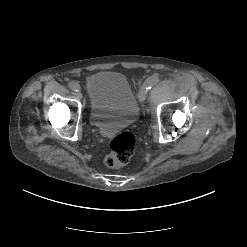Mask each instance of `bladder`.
Masks as SVG:
<instances>
[{"label":"bladder","mask_w":247,"mask_h":247,"mask_svg":"<svg viewBox=\"0 0 247 247\" xmlns=\"http://www.w3.org/2000/svg\"><path fill=\"white\" fill-rule=\"evenodd\" d=\"M86 88L90 122L102 135H110L135 121L138 100L125 75L98 72L88 78Z\"/></svg>","instance_id":"obj_1"}]
</instances>
